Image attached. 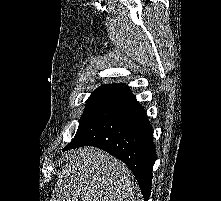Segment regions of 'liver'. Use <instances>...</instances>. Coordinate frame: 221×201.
<instances>
[{
	"instance_id": "6515ba94",
	"label": "liver",
	"mask_w": 221,
	"mask_h": 201,
	"mask_svg": "<svg viewBox=\"0 0 221 201\" xmlns=\"http://www.w3.org/2000/svg\"><path fill=\"white\" fill-rule=\"evenodd\" d=\"M64 157L51 201H135L137 184L121 161L94 147L71 150Z\"/></svg>"
}]
</instances>
